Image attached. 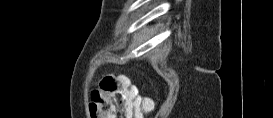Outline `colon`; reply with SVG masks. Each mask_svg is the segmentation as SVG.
I'll return each instance as SVG.
<instances>
[{"label":"colon","mask_w":273,"mask_h":118,"mask_svg":"<svg viewBox=\"0 0 273 118\" xmlns=\"http://www.w3.org/2000/svg\"><path fill=\"white\" fill-rule=\"evenodd\" d=\"M153 100L141 97L125 78L106 76L91 93V118H115L120 110L128 118H142L154 108Z\"/></svg>","instance_id":"colon-1"}]
</instances>
